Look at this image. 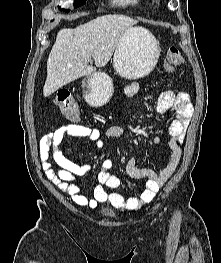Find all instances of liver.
Instances as JSON below:
<instances>
[{
  "label": "liver",
  "mask_w": 221,
  "mask_h": 263,
  "mask_svg": "<svg viewBox=\"0 0 221 263\" xmlns=\"http://www.w3.org/2000/svg\"><path fill=\"white\" fill-rule=\"evenodd\" d=\"M137 23L125 15L108 14L74 29H61L47 60L44 96H50L64 85L94 73L96 68L89 65L91 57L96 67L105 66L124 33Z\"/></svg>",
  "instance_id": "obj_1"
}]
</instances>
